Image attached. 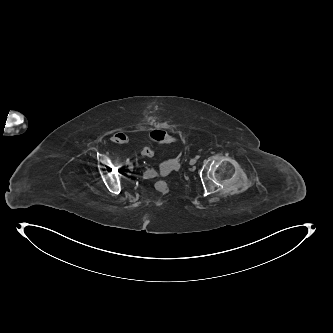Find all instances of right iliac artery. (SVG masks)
<instances>
[{
    "instance_id": "82829eb1",
    "label": "right iliac artery",
    "mask_w": 333,
    "mask_h": 333,
    "mask_svg": "<svg viewBox=\"0 0 333 333\" xmlns=\"http://www.w3.org/2000/svg\"><path fill=\"white\" fill-rule=\"evenodd\" d=\"M126 164H127V165L130 164V160H129V158L126 159Z\"/></svg>"
}]
</instances>
